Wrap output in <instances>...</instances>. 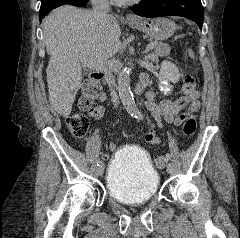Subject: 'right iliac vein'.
Wrapping results in <instances>:
<instances>
[{"instance_id": "right-iliac-vein-1", "label": "right iliac vein", "mask_w": 240, "mask_h": 238, "mask_svg": "<svg viewBox=\"0 0 240 238\" xmlns=\"http://www.w3.org/2000/svg\"><path fill=\"white\" fill-rule=\"evenodd\" d=\"M97 173L99 176H102L103 173H104V167L103 165L99 166L98 169H97Z\"/></svg>"}]
</instances>
